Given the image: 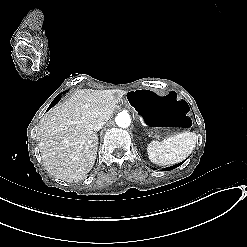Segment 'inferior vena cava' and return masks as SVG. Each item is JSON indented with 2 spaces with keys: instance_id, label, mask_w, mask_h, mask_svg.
Wrapping results in <instances>:
<instances>
[{
  "instance_id": "obj_1",
  "label": "inferior vena cava",
  "mask_w": 247,
  "mask_h": 247,
  "mask_svg": "<svg viewBox=\"0 0 247 247\" xmlns=\"http://www.w3.org/2000/svg\"><path fill=\"white\" fill-rule=\"evenodd\" d=\"M104 124H105V122H98V123L95 125L94 130H95V131H99L100 129L103 128Z\"/></svg>"
}]
</instances>
